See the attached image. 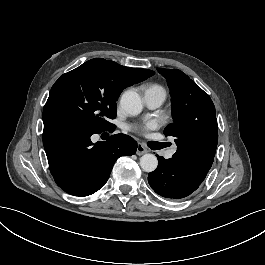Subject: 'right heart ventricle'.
Wrapping results in <instances>:
<instances>
[{"instance_id":"right-heart-ventricle-1","label":"right heart ventricle","mask_w":265,"mask_h":265,"mask_svg":"<svg viewBox=\"0 0 265 265\" xmlns=\"http://www.w3.org/2000/svg\"><path fill=\"white\" fill-rule=\"evenodd\" d=\"M150 88H157L161 93H162V101L164 100L165 96H166V92H165V89L159 85V84H155V83H152L148 86L147 90L145 93H147V91L150 89Z\"/></svg>"}]
</instances>
